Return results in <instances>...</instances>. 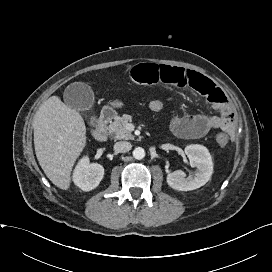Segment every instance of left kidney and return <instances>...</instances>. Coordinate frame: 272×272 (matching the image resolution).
I'll return each instance as SVG.
<instances>
[{
  "instance_id": "obj_1",
  "label": "left kidney",
  "mask_w": 272,
  "mask_h": 272,
  "mask_svg": "<svg viewBox=\"0 0 272 272\" xmlns=\"http://www.w3.org/2000/svg\"><path fill=\"white\" fill-rule=\"evenodd\" d=\"M185 153L191 167L198 168L194 177L185 178L181 170L170 172L167 175V183L170 187L179 191H190L205 185L213 173V162L208 149L199 144H191L185 147Z\"/></svg>"
}]
</instances>
